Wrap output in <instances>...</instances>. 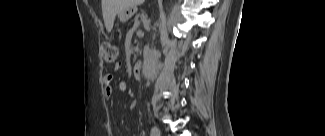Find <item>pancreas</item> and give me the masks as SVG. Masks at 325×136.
I'll list each match as a JSON object with an SVG mask.
<instances>
[{"label": "pancreas", "mask_w": 325, "mask_h": 136, "mask_svg": "<svg viewBox=\"0 0 325 136\" xmlns=\"http://www.w3.org/2000/svg\"><path fill=\"white\" fill-rule=\"evenodd\" d=\"M128 24L133 25L135 23V20L133 18L128 19Z\"/></svg>", "instance_id": "1"}]
</instances>
